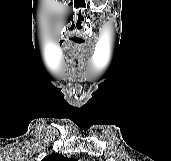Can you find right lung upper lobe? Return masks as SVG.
<instances>
[{
    "mask_svg": "<svg viewBox=\"0 0 171 161\" xmlns=\"http://www.w3.org/2000/svg\"><path fill=\"white\" fill-rule=\"evenodd\" d=\"M42 161H77L73 158H65L59 154H53L45 157Z\"/></svg>",
    "mask_w": 171,
    "mask_h": 161,
    "instance_id": "1",
    "label": "right lung upper lobe"
}]
</instances>
